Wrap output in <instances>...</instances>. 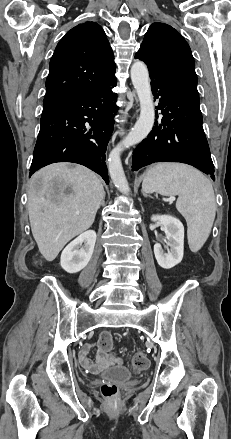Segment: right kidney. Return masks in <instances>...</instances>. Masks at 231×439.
<instances>
[{"label": "right kidney", "mask_w": 231, "mask_h": 439, "mask_svg": "<svg viewBox=\"0 0 231 439\" xmlns=\"http://www.w3.org/2000/svg\"><path fill=\"white\" fill-rule=\"evenodd\" d=\"M96 232L88 230L70 242L62 251L60 264L68 273H77L89 263L96 242ZM84 243V246L79 247Z\"/></svg>", "instance_id": "ca27d5eb"}]
</instances>
